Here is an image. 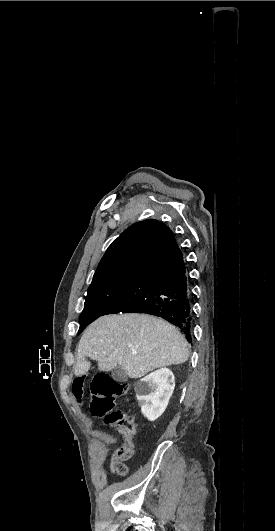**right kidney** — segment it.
<instances>
[{"label":"right kidney","instance_id":"ca27d5eb","mask_svg":"<svg viewBox=\"0 0 275 531\" xmlns=\"http://www.w3.org/2000/svg\"><path fill=\"white\" fill-rule=\"evenodd\" d=\"M175 387V377L170 369H158L134 383V391L141 413L148 421L163 415Z\"/></svg>","mask_w":275,"mask_h":531}]
</instances>
